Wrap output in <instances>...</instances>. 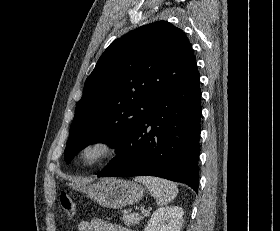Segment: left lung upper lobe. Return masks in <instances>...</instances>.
<instances>
[{
	"instance_id": "left-lung-upper-lobe-1",
	"label": "left lung upper lobe",
	"mask_w": 280,
	"mask_h": 231,
	"mask_svg": "<svg viewBox=\"0 0 280 231\" xmlns=\"http://www.w3.org/2000/svg\"><path fill=\"white\" fill-rule=\"evenodd\" d=\"M196 70L189 40L167 21L114 40L85 81L64 152L66 163L93 143L116 148L167 90Z\"/></svg>"
}]
</instances>
